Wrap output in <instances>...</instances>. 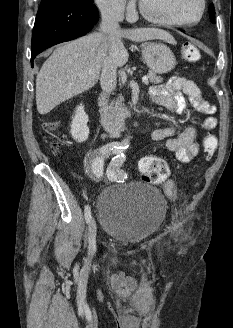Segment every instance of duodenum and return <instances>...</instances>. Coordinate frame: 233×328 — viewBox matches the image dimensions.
Wrapping results in <instances>:
<instances>
[{
	"mask_svg": "<svg viewBox=\"0 0 233 328\" xmlns=\"http://www.w3.org/2000/svg\"><path fill=\"white\" fill-rule=\"evenodd\" d=\"M98 116L103 127L113 135H118L124 126V120L130 114V108H125L120 116L112 114L107 106V96L102 93L98 99Z\"/></svg>",
	"mask_w": 233,
	"mask_h": 328,
	"instance_id": "duodenum-1",
	"label": "duodenum"
}]
</instances>
